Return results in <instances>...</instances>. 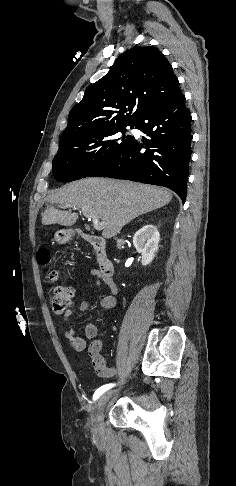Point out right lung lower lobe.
<instances>
[{"label":"right lung lower lobe","instance_id":"obj_1","mask_svg":"<svg viewBox=\"0 0 236 486\" xmlns=\"http://www.w3.org/2000/svg\"><path fill=\"white\" fill-rule=\"evenodd\" d=\"M190 124L184 95L147 108L134 127L149 139L143 138L142 144L134 139L88 176L164 186L175 191L184 202L192 153ZM142 148L146 151L141 152Z\"/></svg>","mask_w":236,"mask_h":486}]
</instances>
